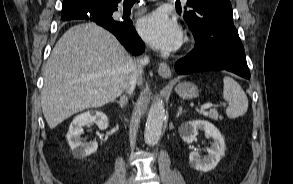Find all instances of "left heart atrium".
Here are the masks:
<instances>
[{
  "label": "left heart atrium",
  "instance_id": "obj_1",
  "mask_svg": "<svg viewBox=\"0 0 293 184\" xmlns=\"http://www.w3.org/2000/svg\"><path fill=\"white\" fill-rule=\"evenodd\" d=\"M138 31L145 41L162 51H173L182 42L180 26L163 12H154L140 19Z\"/></svg>",
  "mask_w": 293,
  "mask_h": 184
}]
</instances>
